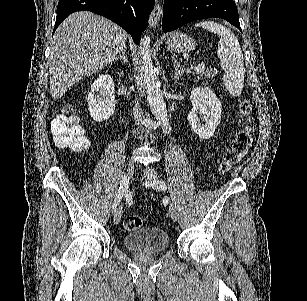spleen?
I'll use <instances>...</instances> for the list:
<instances>
[{
  "label": "spleen",
  "mask_w": 307,
  "mask_h": 301,
  "mask_svg": "<svg viewBox=\"0 0 307 301\" xmlns=\"http://www.w3.org/2000/svg\"><path fill=\"white\" fill-rule=\"evenodd\" d=\"M195 26H202L214 34H219L217 54L224 70L223 84L232 96H240L244 86L245 68L238 38L230 28L214 20L196 22Z\"/></svg>",
  "instance_id": "3e777b00"
}]
</instances>
